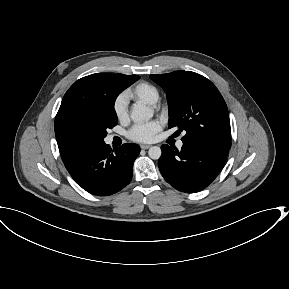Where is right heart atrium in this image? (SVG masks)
<instances>
[{"instance_id":"right-heart-atrium-1","label":"right heart atrium","mask_w":289,"mask_h":289,"mask_svg":"<svg viewBox=\"0 0 289 289\" xmlns=\"http://www.w3.org/2000/svg\"><path fill=\"white\" fill-rule=\"evenodd\" d=\"M113 112L119 121L128 119V100L124 95H119L115 98Z\"/></svg>"}]
</instances>
